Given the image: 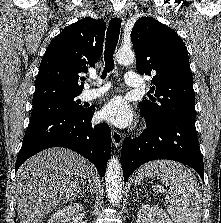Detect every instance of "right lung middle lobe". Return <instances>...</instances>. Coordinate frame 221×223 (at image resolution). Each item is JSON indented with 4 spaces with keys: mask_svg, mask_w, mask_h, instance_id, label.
Returning <instances> with one entry per match:
<instances>
[{
    "mask_svg": "<svg viewBox=\"0 0 221 223\" xmlns=\"http://www.w3.org/2000/svg\"><path fill=\"white\" fill-rule=\"evenodd\" d=\"M77 96L33 104V111L30 120L52 113L76 114L86 111L88 108L81 105Z\"/></svg>",
    "mask_w": 221,
    "mask_h": 223,
    "instance_id": "obj_1",
    "label": "right lung middle lobe"
}]
</instances>
